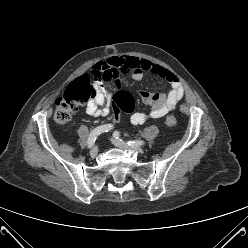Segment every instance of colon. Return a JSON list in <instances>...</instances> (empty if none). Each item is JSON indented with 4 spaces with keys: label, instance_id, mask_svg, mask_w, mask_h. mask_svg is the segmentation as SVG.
I'll return each mask as SVG.
<instances>
[{
    "label": "colon",
    "instance_id": "colon-1",
    "mask_svg": "<svg viewBox=\"0 0 248 248\" xmlns=\"http://www.w3.org/2000/svg\"><path fill=\"white\" fill-rule=\"evenodd\" d=\"M96 96L97 91L92 86L90 77L87 74L78 76L68 85L63 96L57 99L54 113L55 121L60 124L69 122L80 104L90 102L94 100ZM113 109L114 113L112 117L113 120L117 122L122 120L123 116L121 111H124L127 116H132L135 113L133 100L130 95L125 93H119L116 96ZM175 123L176 119L174 116L168 115L165 118V124L167 126H174ZM99 142L106 144L108 137L101 135Z\"/></svg>",
    "mask_w": 248,
    "mask_h": 248
}]
</instances>
